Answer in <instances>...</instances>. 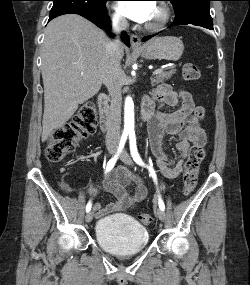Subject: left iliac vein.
I'll list each match as a JSON object with an SVG mask.
<instances>
[{
	"instance_id": "obj_1",
	"label": "left iliac vein",
	"mask_w": 250,
	"mask_h": 285,
	"mask_svg": "<svg viewBox=\"0 0 250 285\" xmlns=\"http://www.w3.org/2000/svg\"><path fill=\"white\" fill-rule=\"evenodd\" d=\"M120 160H121L123 163H125L126 165H132V164H133L130 155H129L126 151H123V152L120 154ZM156 213H157L158 218H159L161 221H164V220L166 219V215H165V212H164L163 210L157 209Z\"/></svg>"
}]
</instances>
